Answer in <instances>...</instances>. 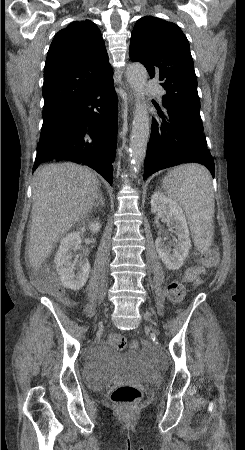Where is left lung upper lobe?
Here are the masks:
<instances>
[{
  "instance_id": "left-lung-upper-lobe-1",
  "label": "left lung upper lobe",
  "mask_w": 245,
  "mask_h": 450,
  "mask_svg": "<svg viewBox=\"0 0 245 450\" xmlns=\"http://www.w3.org/2000/svg\"><path fill=\"white\" fill-rule=\"evenodd\" d=\"M130 58L161 81L167 93L164 107L180 108L203 128L189 43L176 24L151 16L139 19L132 31Z\"/></svg>"
}]
</instances>
